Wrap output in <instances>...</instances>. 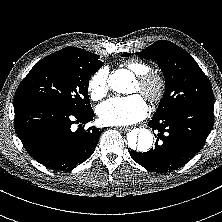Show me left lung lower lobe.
I'll return each mask as SVG.
<instances>
[{
	"label": "left lung lower lobe",
	"mask_w": 222,
	"mask_h": 222,
	"mask_svg": "<svg viewBox=\"0 0 222 222\" xmlns=\"http://www.w3.org/2000/svg\"><path fill=\"white\" fill-rule=\"evenodd\" d=\"M214 105L192 104L162 116H153L148 125L158 130L155 148L131 151L132 159L158 172L175 170L189 162L204 146L214 125ZM159 141V143H158Z\"/></svg>",
	"instance_id": "left-lung-lower-lobe-1"
}]
</instances>
